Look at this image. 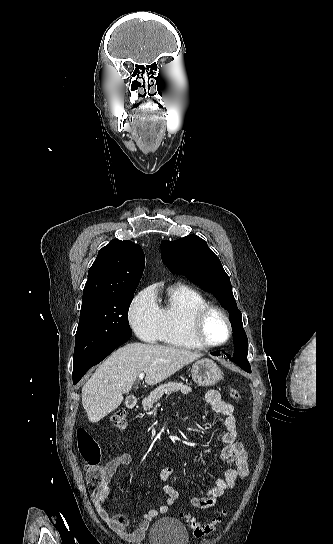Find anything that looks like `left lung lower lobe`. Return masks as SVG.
I'll list each match as a JSON object with an SVG mask.
<instances>
[{"label": "left lung lower lobe", "mask_w": 333, "mask_h": 544, "mask_svg": "<svg viewBox=\"0 0 333 544\" xmlns=\"http://www.w3.org/2000/svg\"><path fill=\"white\" fill-rule=\"evenodd\" d=\"M237 339H238V338H237V335H236V333H234V340H237ZM211 354L214 355V356H219V355H220V352H219V351H217V352H212ZM227 357L232 361V358H231L230 356H227ZM241 368H242L243 370H245L246 372H249V373L251 372L250 367H241Z\"/></svg>", "instance_id": "0a47b994"}]
</instances>
